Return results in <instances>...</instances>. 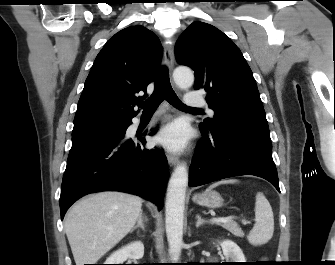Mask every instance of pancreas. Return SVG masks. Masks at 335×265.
<instances>
[{
    "instance_id": "cf45deb5",
    "label": "pancreas",
    "mask_w": 335,
    "mask_h": 265,
    "mask_svg": "<svg viewBox=\"0 0 335 265\" xmlns=\"http://www.w3.org/2000/svg\"><path fill=\"white\" fill-rule=\"evenodd\" d=\"M222 227L226 230H228L229 232H231L233 235L237 236V237H243L244 233L241 230V228L239 227V225L233 221V220H229L226 223L222 224Z\"/></svg>"
}]
</instances>
